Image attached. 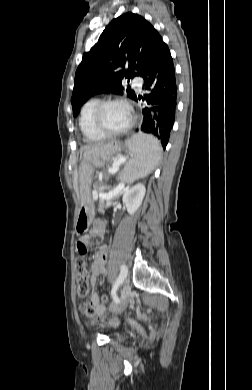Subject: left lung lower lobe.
Segmentation results:
<instances>
[{"label": "left lung lower lobe", "mask_w": 252, "mask_h": 390, "mask_svg": "<svg viewBox=\"0 0 252 390\" xmlns=\"http://www.w3.org/2000/svg\"><path fill=\"white\" fill-rule=\"evenodd\" d=\"M141 77L144 79L143 89L148 93L137 99L145 100L149 107L143 109L144 118L140 130L156 136L165 149L177 106L175 68L166 43L160 44Z\"/></svg>", "instance_id": "1"}]
</instances>
